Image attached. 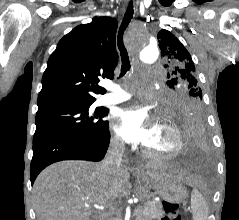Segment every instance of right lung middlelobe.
Returning a JSON list of instances; mask_svg holds the SVG:
<instances>
[{
	"instance_id": "dd1d6c3e",
	"label": "right lung middle lobe",
	"mask_w": 239,
	"mask_h": 220,
	"mask_svg": "<svg viewBox=\"0 0 239 220\" xmlns=\"http://www.w3.org/2000/svg\"><path fill=\"white\" fill-rule=\"evenodd\" d=\"M90 104L76 106H55L38 109L34 138L44 135H71L86 138L102 137L109 128L108 115L104 108L91 110Z\"/></svg>"
}]
</instances>
